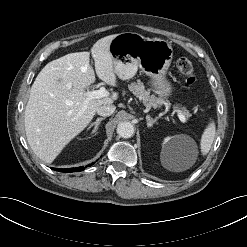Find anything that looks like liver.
<instances>
[{"instance_id": "liver-1", "label": "liver", "mask_w": 247, "mask_h": 247, "mask_svg": "<svg viewBox=\"0 0 247 247\" xmlns=\"http://www.w3.org/2000/svg\"><path fill=\"white\" fill-rule=\"evenodd\" d=\"M115 35L99 39L91 48L99 79L116 86L109 50ZM90 52L70 53L49 62L37 75L25 108V131L33 152L52 163L63 148L93 119L98 107L111 105L118 94L87 100L86 89L95 82Z\"/></svg>"}]
</instances>
